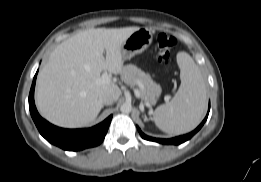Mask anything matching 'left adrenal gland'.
Returning <instances> with one entry per match:
<instances>
[{"instance_id": "a2214340", "label": "left adrenal gland", "mask_w": 261, "mask_h": 182, "mask_svg": "<svg viewBox=\"0 0 261 182\" xmlns=\"http://www.w3.org/2000/svg\"><path fill=\"white\" fill-rule=\"evenodd\" d=\"M144 120H145V121L147 120V117H146V116L144 117Z\"/></svg>"}]
</instances>
